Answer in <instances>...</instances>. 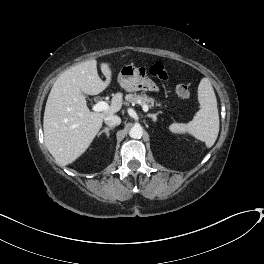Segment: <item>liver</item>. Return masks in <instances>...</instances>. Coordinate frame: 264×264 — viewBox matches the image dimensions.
<instances>
[{"label":"liver","instance_id":"6515ba94","mask_svg":"<svg viewBox=\"0 0 264 264\" xmlns=\"http://www.w3.org/2000/svg\"><path fill=\"white\" fill-rule=\"evenodd\" d=\"M103 81L97 72V61L88 60L64 71L55 81L44 112V142L56 162L65 166L74 162L90 146L106 117L113 116L123 104L122 93H116L105 112H91L85 94L97 95L111 82L108 63H101Z\"/></svg>","mask_w":264,"mask_h":264}]
</instances>
